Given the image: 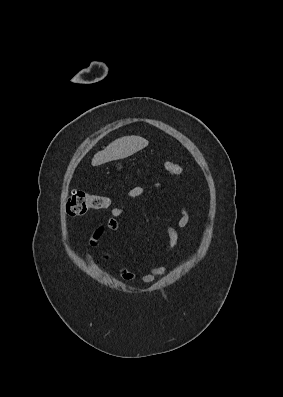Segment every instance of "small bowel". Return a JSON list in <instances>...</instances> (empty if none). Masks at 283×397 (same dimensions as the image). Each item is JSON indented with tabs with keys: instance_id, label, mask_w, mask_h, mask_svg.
<instances>
[{
	"instance_id": "obj_1",
	"label": "small bowel",
	"mask_w": 283,
	"mask_h": 397,
	"mask_svg": "<svg viewBox=\"0 0 283 397\" xmlns=\"http://www.w3.org/2000/svg\"><path fill=\"white\" fill-rule=\"evenodd\" d=\"M155 187H163L160 183H155ZM129 198H136L142 196L154 197V193L152 190L147 189L145 187L136 186L129 190L128 192ZM125 214V210L121 207H114L111 209V215L107 219H105L99 226H97L92 232L89 238V245L92 247H98L101 245L103 240V233L105 230H110L113 232H117L120 228V224L118 219ZM190 223V215L185 208L181 209L180 215L175 219V225H169L166 227V234L168 236V244L166 246V250L170 251L174 249L179 240V234L177 228H185ZM105 259H109L110 255L107 251L103 252ZM85 259L87 262L93 267L98 268L95 263L93 257L90 253H84ZM166 273V268L164 266H155L152 267L147 272L136 274L131 271L127 267H121L119 270V274L121 278L125 281H134L140 280L143 283H152L156 280V278L163 276Z\"/></svg>"
}]
</instances>
